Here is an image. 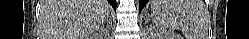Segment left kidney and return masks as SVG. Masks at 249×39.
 Returning a JSON list of instances; mask_svg holds the SVG:
<instances>
[{"label": "left kidney", "mask_w": 249, "mask_h": 39, "mask_svg": "<svg viewBox=\"0 0 249 39\" xmlns=\"http://www.w3.org/2000/svg\"><path fill=\"white\" fill-rule=\"evenodd\" d=\"M155 37L156 39H174L175 38L173 37V35H170L163 30L156 31Z\"/></svg>", "instance_id": "1"}]
</instances>
